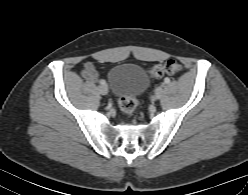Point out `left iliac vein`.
I'll return each instance as SVG.
<instances>
[{
  "label": "left iliac vein",
  "mask_w": 248,
  "mask_h": 195,
  "mask_svg": "<svg viewBox=\"0 0 248 195\" xmlns=\"http://www.w3.org/2000/svg\"><path fill=\"white\" fill-rule=\"evenodd\" d=\"M162 88L160 87V88H158L156 91H155V95H154V97L156 98V99H160L161 98V96H162Z\"/></svg>",
  "instance_id": "4c4485c4"
}]
</instances>
